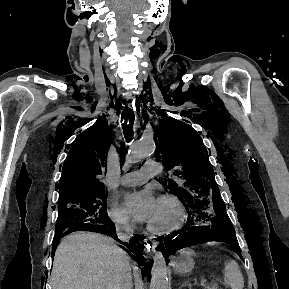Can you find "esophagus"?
Wrapping results in <instances>:
<instances>
[{"mask_svg":"<svg viewBox=\"0 0 289 289\" xmlns=\"http://www.w3.org/2000/svg\"><path fill=\"white\" fill-rule=\"evenodd\" d=\"M131 105L132 107H134V104L129 102V106ZM144 242L146 244L147 249L151 250L152 252H156L158 243L155 239H153L152 237H147L145 238Z\"/></svg>","mask_w":289,"mask_h":289,"instance_id":"34e87169","label":"esophagus"}]
</instances>
